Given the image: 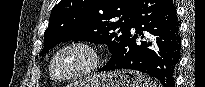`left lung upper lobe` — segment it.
I'll use <instances>...</instances> for the list:
<instances>
[{"instance_id":"1","label":"left lung upper lobe","mask_w":205,"mask_h":87,"mask_svg":"<svg viewBox=\"0 0 205 87\" xmlns=\"http://www.w3.org/2000/svg\"><path fill=\"white\" fill-rule=\"evenodd\" d=\"M138 1L61 0L51 12L40 55L63 41L74 40L107 44L111 59L115 58L130 35L131 17Z\"/></svg>"}]
</instances>
